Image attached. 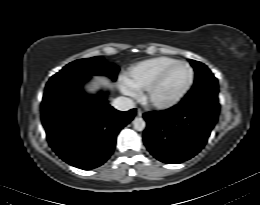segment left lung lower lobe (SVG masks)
<instances>
[{"label": "left lung lower lobe", "instance_id": "left-lung-lower-lobe-1", "mask_svg": "<svg viewBox=\"0 0 260 205\" xmlns=\"http://www.w3.org/2000/svg\"><path fill=\"white\" fill-rule=\"evenodd\" d=\"M218 113L219 107L209 102L187 100L168 110L147 112L144 143L164 163L186 161L204 147Z\"/></svg>", "mask_w": 260, "mask_h": 205}]
</instances>
